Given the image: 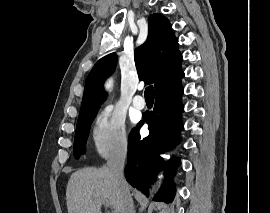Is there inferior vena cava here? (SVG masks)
Segmentation results:
<instances>
[{"label": "inferior vena cava", "mask_w": 270, "mask_h": 213, "mask_svg": "<svg viewBox=\"0 0 270 213\" xmlns=\"http://www.w3.org/2000/svg\"><path fill=\"white\" fill-rule=\"evenodd\" d=\"M127 156V144L123 143L115 147L109 154L107 168L111 176L117 182L122 196V211L121 213H133V202L129 192L128 184L124 178L123 170Z\"/></svg>", "instance_id": "obj_1"}]
</instances>
